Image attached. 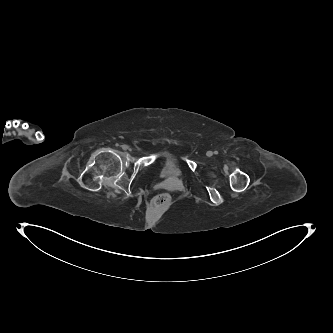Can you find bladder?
Segmentation results:
<instances>
[{
  "mask_svg": "<svg viewBox=\"0 0 333 333\" xmlns=\"http://www.w3.org/2000/svg\"><path fill=\"white\" fill-rule=\"evenodd\" d=\"M159 175L166 182H172L184 177V170L180 160L176 156H168L162 160L159 166Z\"/></svg>",
  "mask_w": 333,
  "mask_h": 333,
  "instance_id": "obj_1",
  "label": "bladder"
}]
</instances>
